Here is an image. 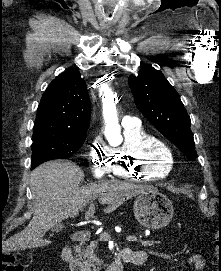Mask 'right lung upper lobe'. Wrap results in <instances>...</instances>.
Instances as JSON below:
<instances>
[{"label":"right lung upper lobe","mask_w":221,"mask_h":271,"mask_svg":"<svg viewBox=\"0 0 221 271\" xmlns=\"http://www.w3.org/2000/svg\"><path fill=\"white\" fill-rule=\"evenodd\" d=\"M91 103L85 81L78 70L57 76L44 92L38 106L34 132L87 133Z\"/></svg>","instance_id":"obj_1"}]
</instances>
